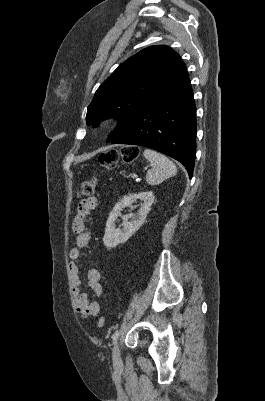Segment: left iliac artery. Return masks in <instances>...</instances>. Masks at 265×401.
<instances>
[{"instance_id":"44dca946","label":"left iliac artery","mask_w":265,"mask_h":401,"mask_svg":"<svg viewBox=\"0 0 265 401\" xmlns=\"http://www.w3.org/2000/svg\"><path fill=\"white\" fill-rule=\"evenodd\" d=\"M118 337H119V330H116L112 335V340L114 344H116Z\"/></svg>"}]
</instances>
